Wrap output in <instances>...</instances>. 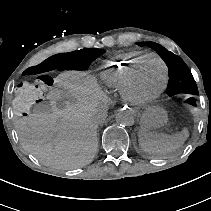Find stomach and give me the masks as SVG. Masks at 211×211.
I'll return each mask as SVG.
<instances>
[{
	"label": "stomach",
	"mask_w": 211,
	"mask_h": 211,
	"mask_svg": "<svg viewBox=\"0 0 211 211\" xmlns=\"http://www.w3.org/2000/svg\"><path fill=\"white\" fill-rule=\"evenodd\" d=\"M168 120L167 113L160 107H151L145 110L141 118V124L146 129L160 128Z\"/></svg>",
	"instance_id": "1"
}]
</instances>
